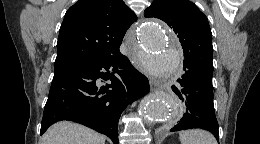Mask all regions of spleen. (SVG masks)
<instances>
[{
  "label": "spleen",
  "mask_w": 260,
  "mask_h": 144,
  "mask_svg": "<svg viewBox=\"0 0 260 144\" xmlns=\"http://www.w3.org/2000/svg\"><path fill=\"white\" fill-rule=\"evenodd\" d=\"M179 138L181 144H217L211 133L199 129L181 131Z\"/></svg>",
  "instance_id": "1"
}]
</instances>
